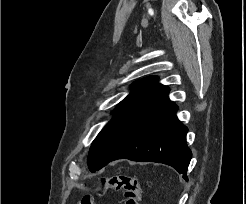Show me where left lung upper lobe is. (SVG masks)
<instances>
[{
  "mask_svg": "<svg viewBox=\"0 0 246 204\" xmlns=\"http://www.w3.org/2000/svg\"><path fill=\"white\" fill-rule=\"evenodd\" d=\"M156 80L157 77L151 76L133 83L131 85L133 91L113 110V118L107 123V125L102 129L98 136L112 123H114L121 116L126 114L129 110L164 88V86L158 83ZM98 136L95 138V140L98 138Z\"/></svg>",
  "mask_w": 246,
  "mask_h": 204,
  "instance_id": "5c2ea615",
  "label": "left lung upper lobe"
}]
</instances>
